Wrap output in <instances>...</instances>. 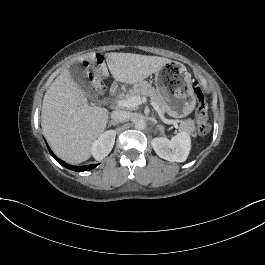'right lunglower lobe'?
I'll return each instance as SVG.
<instances>
[{
  "label": "right lung lower lobe",
  "instance_id": "obj_1",
  "mask_svg": "<svg viewBox=\"0 0 265 265\" xmlns=\"http://www.w3.org/2000/svg\"><path fill=\"white\" fill-rule=\"evenodd\" d=\"M48 149H49V152H50V155L57 161L59 162L61 165H63L64 167L68 168V169H71L73 171H77V172H82V171H89L93 168H95L97 165L96 164H91V165H88V166H72V165H68L67 163H65L64 161L60 160L59 158H57L54 153L50 150L49 146H48Z\"/></svg>",
  "mask_w": 265,
  "mask_h": 265
}]
</instances>
